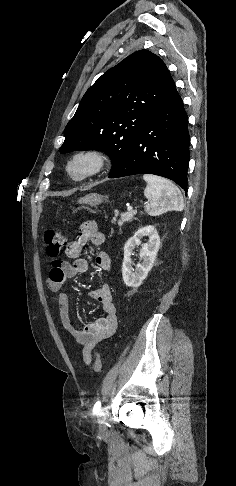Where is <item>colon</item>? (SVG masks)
Listing matches in <instances>:
<instances>
[{"mask_svg":"<svg viewBox=\"0 0 236 486\" xmlns=\"http://www.w3.org/2000/svg\"><path fill=\"white\" fill-rule=\"evenodd\" d=\"M45 242L49 256H57L66 247V238L56 230L46 232ZM93 369L95 373H100L102 370V360L99 353H95Z\"/></svg>","mask_w":236,"mask_h":486,"instance_id":"5ec220e1","label":"colon"}]
</instances>
